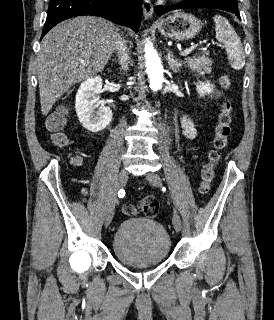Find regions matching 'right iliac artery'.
<instances>
[{
  "mask_svg": "<svg viewBox=\"0 0 274 320\" xmlns=\"http://www.w3.org/2000/svg\"><path fill=\"white\" fill-rule=\"evenodd\" d=\"M124 196H125V190L120 189V190L118 191V197H119V198H123Z\"/></svg>",
  "mask_w": 274,
  "mask_h": 320,
  "instance_id": "right-iliac-artery-1",
  "label": "right iliac artery"
}]
</instances>
